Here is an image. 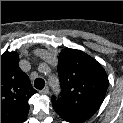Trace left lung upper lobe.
<instances>
[{
	"label": "left lung upper lobe",
	"instance_id": "obj_1",
	"mask_svg": "<svg viewBox=\"0 0 123 123\" xmlns=\"http://www.w3.org/2000/svg\"><path fill=\"white\" fill-rule=\"evenodd\" d=\"M58 74L62 96L52 97L56 113L70 123L90 118L101 106L108 88L103 67L80 50L64 49L59 54Z\"/></svg>",
	"mask_w": 123,
	"mask_h": 123
}]
</instances>
